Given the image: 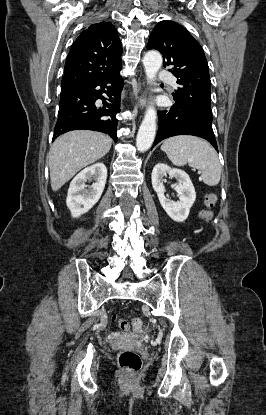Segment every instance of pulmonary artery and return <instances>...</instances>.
<instances>
[{
  "label": "pulmonary artery",
  "instance_id": "pulmonary-artery-1",
  "mask_svg": "<svg viewBox=\"0 0 266 415\" xmlns=\"http://www.w3.org/2000/svg\"><path fill=\"white\" fill-rule=\"evenodd\" d=\"M159 79L166 82V83H168V84H172V85L175 84V82H176L173 75L170 74L167 71H160L159 72Z\"/></svg>",
  "mask_w": 266,
  "mask_h": 415
}]
</instances>
